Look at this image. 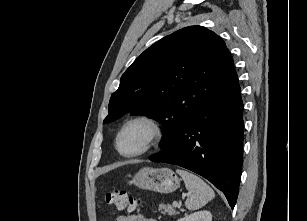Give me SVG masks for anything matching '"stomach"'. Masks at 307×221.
Masks as SVG:
<instances>
[{"instance_id": "stomach-1", "label": "stomach", "mask_w": 307, "mask_h": 221, "mask_svg": "<svg viewBox=\"0 0 307 221\" xmlns=\"http://www.w3.org/2000/svg\"><path fill=\"white\" fill-rule=\"evenodd\" d=\"M131 183L160 193H171L180 187V179L169 168L144 167L133 176Z\"/></svg>"}]
</instances>
